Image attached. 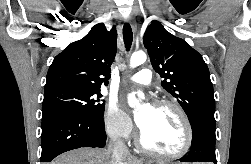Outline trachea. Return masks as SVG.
Masks as SVG:
<instances>
[{
    "label": "trachea",
    "mask_w": 251,
    "mask_h": 164,
    "mask_svg": "<svg viewBox=\"0 0 251 164\" xmlns=\"http://www.w3.org/2000/svg\"><path fill=\"white\" fill-rule=\"evenodd\" d=\"M123 39L126 50L129 51L133 41V33H132V28L128 23H125L123 26Z\"/></svg>",
    "instance_id": "1"
}]
</instances>
